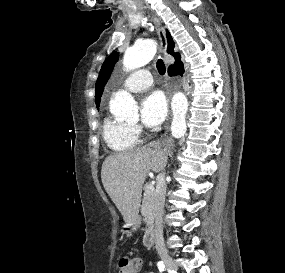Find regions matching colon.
Wrapping results in <instances>:
<instances>
[{"mask_svg": "<svg viewBox=\"0 0 285 273\" xmlns=\"http://www.w3.org/2000/svg\"><path fill=\"white\" fill-rule=\"evenodd\" d=\"M141 262L137 258H122L119 263V273H137Z\"/></svg>", "mask_w": 285, "mask_h": 273, "instance_id": "5ec220e1", "label": "colon"}]
</instances>
